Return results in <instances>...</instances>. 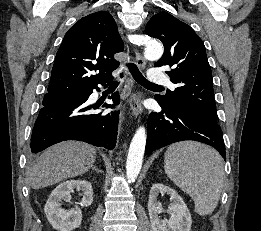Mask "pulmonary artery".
Listing matches in <instances>:
<instances>
[{
	"label": "pulmonary artery",
	"mask_w": 261,
	"mask_h": 231,
	"mask_svg": "<svg viewBox=\"0 0 261 231\" xmlns=\"http://www.w3.org/2000/svg\"><path fill=\"white\" fill-rule=\"evenodd\" d=\"M149 82L158 85H169L174 89V85L168 80L164 73L159 68H151L149 70Z\"/></svg>",
	"instance_id": "1"
}]
</instances>
